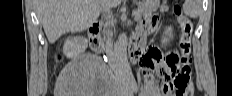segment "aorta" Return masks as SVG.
Wrapping results in <instances>:
<instances>
[{
	"instance_id": "762f6f07",
	"label": "aorta",
	"mask_w": 232,
	"mask_h": 96,
	"mask_svg": "<svg viewBox=\"0 0 232 96\" xmlns=\"http://www.w3.org/2000/svg\"><path fill=\"white\" fill-rule=\"evenodd\" d=\"M127 44V35L121 33L114 46V61L123 76L131 75V69L127 59Z\"/></svg>"
}]
</instances>
